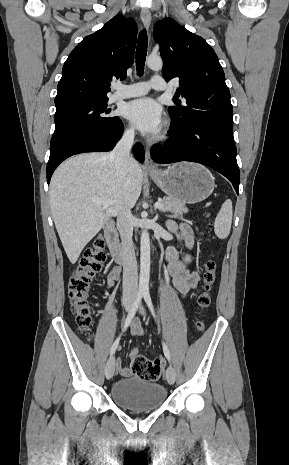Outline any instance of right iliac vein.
I'll return each mask as SVG.
<instances>
[{"label":"right iliac vein","instance_id":"obj_1","mask_svg":"<svg viewBox=\"0 0 289 465\" xmlns=\"http://www.w3.org/2000/svg\"><path fill=\"white\" fill-rule=\"evenodd\" d=\"M132 306V300L131 299H126L124 301V307L127 311L130 310ZM115 372V358L114 356H111L105 366V376L107 379H111L114 375Z\"/></svg>","mask_w":289,"mask_h":465}]
</instances>
